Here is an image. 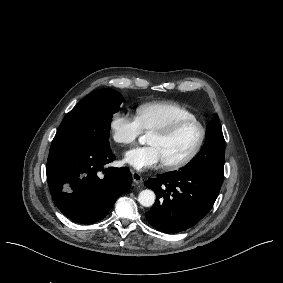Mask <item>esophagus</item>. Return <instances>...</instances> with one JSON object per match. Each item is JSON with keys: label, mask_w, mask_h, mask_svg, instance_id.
Segmentation results:
<instances>
[{"label": "esophagus", "mask_w": 283, "mask_h": 283, "mask_svg": "<svg viewBox=\"0 0 283 283\" xmlns=\"http://www.w3.org/2000/svg\"><path fill=\"white\" fill-rule=\"evenodd\" d=\"M132 179L136 184L142 183V176L136 171H132Z\"/></svg>", "instance_id": "obj_1"}]
</instances>
